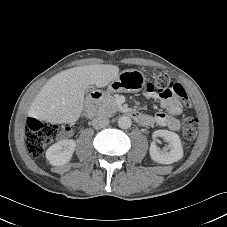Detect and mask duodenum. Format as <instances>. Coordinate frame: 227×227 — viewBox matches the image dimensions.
I'll list each match as a JSON object with an SVG mask.
<instances>
[{
  "label": "duodenum",
  "instance_id": "duodenum-1",
  "mask_svg": "<svg viewBox=\"0 0 227 227\" xmlns=\"http://www.w3.org/2000/svg\"><path fill=\"white\" fill-rule=\"evenodd\" d=\"M103 93L101 91H97L92 93L85 102V114L87 117L91 118L95 114L96 104L98 100L102 97ZM125 115L132 118L137 123L142 124L145 121L144 114L134 111V110H125L123 112Z\"/></svg>",
  "mask_w": 227,
  "mask_h": 227
}]
</instances>
